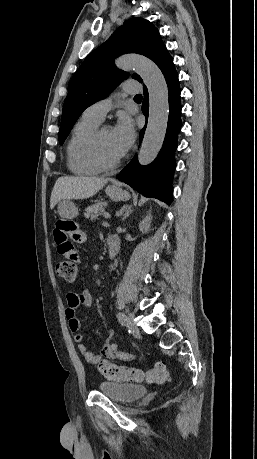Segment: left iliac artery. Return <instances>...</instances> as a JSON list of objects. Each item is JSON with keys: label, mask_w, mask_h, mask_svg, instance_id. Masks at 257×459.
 Here are the masks:
<instances>
[{"label": "left iliac artery", "mask_w": 257, "mask_h": 459, "mask_svg": "<svg viewBox=\"0 0 257 459\" xmlns=\"http://www.w3.org/2000/svg\"><path fill=\"white\" fill-rule=\"evenodd\" d=\"M118 320L122 326H127V327L129 326V321L124 313L122 312L118 313Z\"/></svg>", "instance_id": "44dca946"}]
</instances>
